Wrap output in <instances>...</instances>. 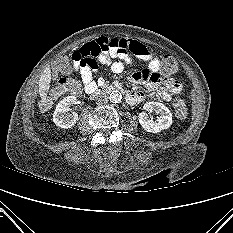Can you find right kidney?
<instances>
[{
	"instance_id": "1",
	"label": "right kidney",
	"mask_w": 233,
	"mask_h": 233,
	"mask_svg": "<svg viewBox=\"0 0 233 233\" xmlns=\"http://www.w3.org/2000/svg\"><path fill=\"white\" fill-rule=\"evenodd\" d=\"M78 100L76 96H67L61 100L53 114V122L61 128H71L78 120V114L73 112L69 114V106L77 104Z\"/></svg>"
}]
</instances>
